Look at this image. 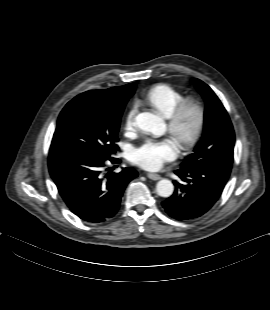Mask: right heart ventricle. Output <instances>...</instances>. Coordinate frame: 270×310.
I'll return each instance as SVG.
<instances>
[{"label": "right heart ventricle", "mask_w": 270, "mask_h": 310, "mask_svg": "<svg viewBox=\"0 0 270 310\" xmlns=\"http://www.w3.org/2000/svg\"><path fill=\"white\" fill-rule=\"evenodd\" d=\"M145 99L159 113L169 117L174 109L184 100V96L169 85L159 84L146 93Z\"/></svg>", "instance_id": "e07e8e85"}]
</instances>
